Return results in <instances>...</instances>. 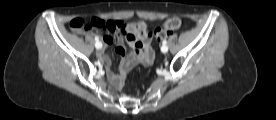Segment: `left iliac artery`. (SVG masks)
I'll list each match as a JSON object with an SVG mask.
<instances>
[{
    "label": "left iliac artery",
    "mask_w": 276,
    "mask_h": 120,
    "mask_svg": "<svg viewBox=\"0 0 276 120\" xmlns=\"http://www.w3.org/2000/svg\"><path fill=\"white\" fill-rule=\"evenodd\" d=\"M162 44H163V46H165L167 44V41L163 40Z\"/></svg>",
    "instance_id": "1"
}]
</instances>
